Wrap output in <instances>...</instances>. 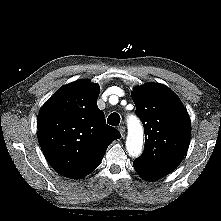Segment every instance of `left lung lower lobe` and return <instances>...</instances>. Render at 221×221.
<instances>
[{"mask_svg": "<svg viewBox=\"0 0 221 221\" xmlns=\"http://www.w3.org/2000/svg\"><path fill=\"white\" fill-rule=\"evenodd\" d=\"M133 166L138 175L147 181L157 180L167 175L166 173L145 167L136 161H134Z\"/></svg>", "mask_w": 221, "mask_h": 221, "instance_id": "obj_1", "label": "left lung lower lobe"}]
</instances>
